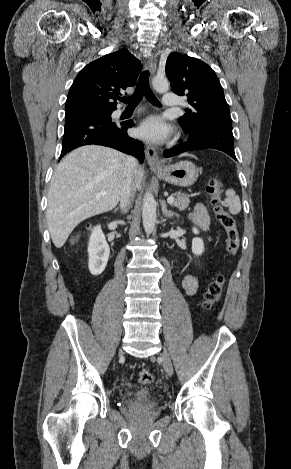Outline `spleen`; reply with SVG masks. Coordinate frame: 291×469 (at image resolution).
<instances>
[{
  "instance_id": "1",
  "label": "spleen",
  "mask_w": 291,
  "mask_h": 469,
  "mask_svg": "<svg viewBox=\"0 0 291 469\" xmlns=\"http://www.w3.org/2000/svg\"><path fill=\"white\" fill-rule=\"evenodd\" d=\"M225 194L226 198L224 200V205L228 207L231 214H238L241 211V203L239 196L236 195L233 189H228Z\"/></svg>"
}]
</instances>
